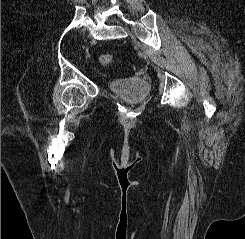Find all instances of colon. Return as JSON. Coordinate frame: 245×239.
I'll return each mask as SVG.
<instances>
[{"label": "colon", "mask_w": 245, "mask_h": 239, "mask_svg": "<svg viewBox=\"0 0 245 239\" xmlns=\"http://www.w3.org/2000/svg\"><path fill=\"white\" fill-rule=\"evenodd\" d=\"M113 60V56L111 54H102L100 56V62L103 64V65H108L112 62Z\"/></svg>", "instance_id": "colon-1"}]
</instances>
